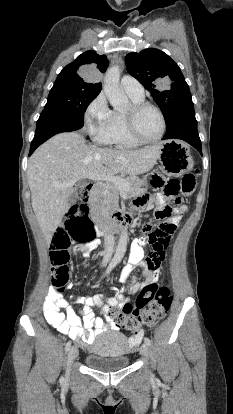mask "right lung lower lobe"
<instances>
[{
    "mask_svg": "<svg viewBox=\"0 0 233 414\" xmlns=\"http://www.w3.org/2000/svg\"><path fill=\"white\" fill-rule=\"evenodd\" d=\"M84 121L64 115L54 110L44 109L37 121L29 156L50 137L61 132H71L82 128Z\"/></svg>",
    "mask_w": 233,
    "mask_h": 414,
    "instance_id": "98d812e1",
    "label": "right lung lower lobe"
}]
</instances>
